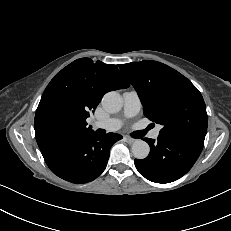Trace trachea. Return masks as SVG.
<instances>
[{
	"mask_svg": "<svg viewBox=\"0 0 231 231\" xmlns=\"http://www.w3.org/2000/svg\"><path fill=\"white\" fill-rule=\"evenodd\" d=\"M152 127L151 126H148L147 129L145 130H141V131H136L134 133H132V137L133 138H142L148 130H150Z\"/></svg>",
	"mask_w": 231,
	"mask_h": 231,
	"instance_id": "trachea-1",
	"label": "trachea"
}]
</instances>
